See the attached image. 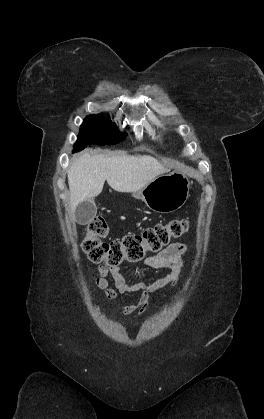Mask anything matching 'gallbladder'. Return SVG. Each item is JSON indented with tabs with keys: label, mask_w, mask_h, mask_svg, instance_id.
Masks as SVG:
<instances>
[{
	"label": "gallbladder",
	"mask_w": 264,
	"mask_h": 419,
	"mask_svg": "<svg viewBox=\"0 0 264 419\" xmlns=\"http://www.w3.org/2000/svg\"><path fill=\"white\" fill-rule=\"evenodd\" d=\"M97 208L92 200L80 203L75 210V217L78 224L85 225L89 223L96 215Z\"/></svg>",
	"instance_id": "gallbladder-1"
}]
</instances>
